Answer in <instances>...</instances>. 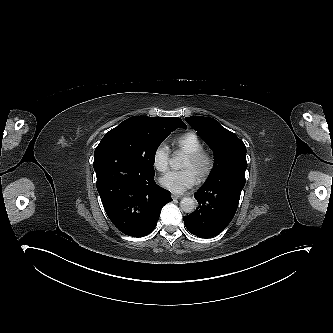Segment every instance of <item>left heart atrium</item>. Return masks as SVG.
Returning a JSON list of instances; mask_svg holds the SVG:
<instances>
[{"instance_id":"obj_1","label":"left heart atrium","mask_w":333,"mask_h":333,"mask_svg":"<svg viewBox=\"0 0 333 333\" xmlns=\"http://www.w3.org/2000/svg\"><path fill=\"white\" fill-rule=\"evenodd\" d=\"M164 183L176 192H182L189 188L192 184V179L185 172H170L164 177Z\"/></svg>"}]
</instances>
